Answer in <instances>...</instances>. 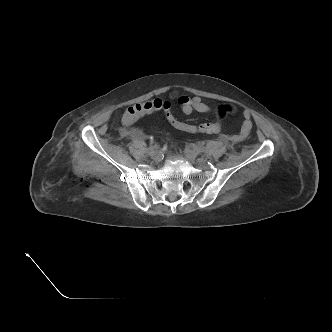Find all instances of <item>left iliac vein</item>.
Instances as JSON below:
<instances>
[{
  "label": "left iliac vein",
  "mask_w": 332,
  "mask_h": 332,
  "mask_svg": "<svg viewBox=\"0 0 332 332\" xmlns=\"http://www.w3.org/2000/svg\"><path fill=\"white\" fill-rule=\"evenodd\" d=\"M185 153H186V156H187L189 159H191V160H194V159H196V157H197L196 152L193 151L192 149L187 148V149L185 150Z\"/></svg>",
  "instance_id": "left-iliac-vein-1"
}]
</instances>
